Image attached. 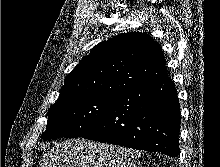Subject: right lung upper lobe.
Segmentation results:
<instances>
[{"instance_id":"right-lung-upper-lobe-1","label":"right lung upper lobe","mask_w":220,"mask_h":167,"mask_svg":"<svg viewBox=\"0 0 220 167\" xmlns=\"http://www.w3.org/2000/svg\"><path fill=\"white\" fill-rule=\"evenodd\" d=\"M167 76L163 52L142 32L99 43L65 78L59 99L78 95L116 96Z\"/></svg>"}]
</instances>
